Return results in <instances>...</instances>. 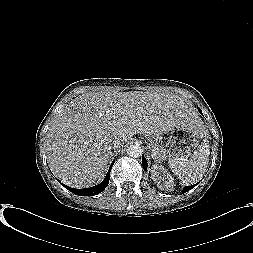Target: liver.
<instances>
[{
  "label": "liver",
  "mask_w": 253,
  "mask_h": 253,
  "mask_svg": "<svg viewBox=\"0 0 253 253\" xmlns=\"http://www.w3.org/2000/svg\"><path fill=\"white\" fill-rule=\"evenodd\" d=\"M178 123L204 131L202 120L176 95L161 92H89L66 104L47 132L51 171L74 188L96 185L105 176L114 135L123 145L136 133H162ZM122 145V146H123ZM121 146V147H122Z\"/></svg>",
  "instance_id": "liver-1"
}]
</instances>
